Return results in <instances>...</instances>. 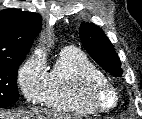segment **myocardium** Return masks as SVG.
I'll use <instances>...</instances> for the list:
<instances>
[{
    "label": "myocardium",
    "mask_w": 142,
    "mask_h": 119,
    "mask_svg": "<svg viewBox=\"0 0 142 119\" xmlns=\"http://www.w3.org/2000/svg\"><path fill=\"white\" fill-rule=\"evenodd\" d=\"M89 104L97 111H110L118 103V94L107 82L94 83L87 93Z\"/></svg>",
    "instance_id": "obj_1"
}]
</instances>
